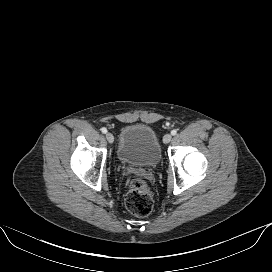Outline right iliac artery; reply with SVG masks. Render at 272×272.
Listing matches in <instances>:
<instances>
[{"instance_id": "obj_1", "label": "right iliac artery", "mask_w": 272, "mask_h": 272, "mask_svg": "<svg viewBox=\"0 0 272 272\" xmlns=\"http://www.w3.org/2000/svg\"><path fill=\"white\" fill-rule=\"evenodd\" d=\"M101 132L104 133V134H106L107 133V129L103 127V128H101Z\"/></svg>"}]
</instances>
